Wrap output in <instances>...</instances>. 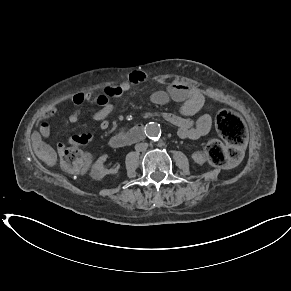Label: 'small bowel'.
I'll return each instance as SVG.
<instances>
[{"instance_id": "obj_1", "label": "small bowel", "mask_w": 291, "mask_h": 291, "mask_svg": "<svg viewBox=\"0 0 291 291\" xmlns=\"http://www.w3.org/2000/svg\"><path fill=\"white\" fill-rule=\"evenodd\" d=\"M148 82V76L142 71H135L130 74L128 79L121 83L109 85L105 88L104 92L95 98V102L99 105V109L93 113V119L100 122V129L102 132H107L110 129L108 117L113 112V106L110 103L111 99H118L128 92L132 87L142 85ZM92 95L88 92H79L73 95L71 102L74 105L81 106L82 104L90 101ZM150 100L156 105H165L170 100L181 102L180 114L164 113V119L177 128L178 135L185 139H198L210 131L212 119L209 114L201 115L196 122L190 119V116L196 114L206 106V101L200 90L191 88L183 84H173L167 90H156L151 93ZM59 106H51L42 115L38 129L33 133L32 142L36 150L42 152L46 161L50 162L54 159V152L47 146L44 139L51 135L49 121L56 114ZM80 109L72 112L68 119L70 122L75 123L80 117ZM128 131L121 128L118 130L117 135L125 134ZM94 135L91 133L74 135L69 139V142H81L87 144L92 141ZM65 150V145L58 142L56 151L61 155Z\"/></svg>"}]
</instances>
